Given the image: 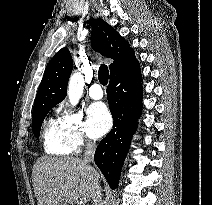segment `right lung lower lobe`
Segmentation results:
<instances>
[{
  "label": "right lung lower lobe",
  "instance_id": "98d812e1",
  "mask_svg": "<svg viewBox=\"0 0 212 205\" xmlns=\"http://www.w3.org/2000/svg\"><path fill=\"white\" fill-rule=\"evenodd\" d=\"M142 75L138 60L110 74L107 99L113 129L99 143L94 159L110 187L115 189L142 112Z\"/></svg>",
  "mask_w": 212,
  "mask_h": 205
}]
</instances>
